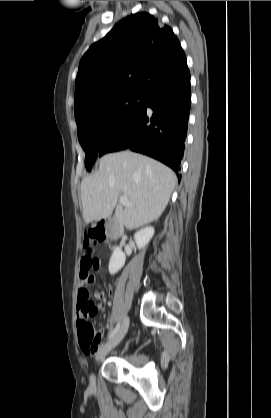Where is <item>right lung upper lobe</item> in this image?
<instances>
[{
  "instance_id": "cb5924a9",
  "label": "right lung upper lobe",
  "mask_w": 271,
  "mask_h": 418,
  "mask_svg": "<svg viewBox=\"0 0 271 418\" xmlns=\"http://www.w3.org/2000/svg\"><path fill=\"white\" fill-rule=\"evenodd\" d=\"M186 62L169 26L146 12L132 14L80 61L75 84V116L123 93L149 95Z\"/></svg>"
}]
</instances>
